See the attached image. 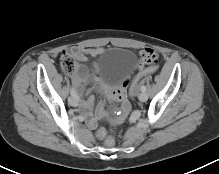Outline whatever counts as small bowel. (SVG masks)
Listing matches in <instances>:
<instances>
[{
	"mask_svg": "<svg viewBox=\"0 0 219 174\" xmlns=\"http://www.w3.org/2000/svg\"><path fill=\"white\" fill-rule=\"evenodd\" d=\"M105 52L104 48H71L70 54L79 62H85L89 58H96ZM160 61V54L154 49H147L141 54V64L139 66V71L148 67L145 66L146 63L157 64ZM146 76V75H145ZM92 76L89 69L82 65L78 64L76 66L75 72L72 74V81L76 87L78 96H82L85 93L84 84L91 80ZM128 80L125 82H120L115 89H108L106 93L101 96V99L104 102L116 100V104L119 106V109L123 112H120L117 115H114L111 118V121L114 124H122L127 119V109L132 106V103L129 100L128 90ZM94 104V97H90L88 100L82 103V109L89 115V112ZM105 113L104 104L101 103L96 110V116L94 118H89L88 126L90 128H95L97 126V119L102 117Z\"/></svg>",
	"mask_w": 219,
	"mask_h": 174,
	"instance_id": "obj_1",
	"label": "small bowel"
}]
</instances>
